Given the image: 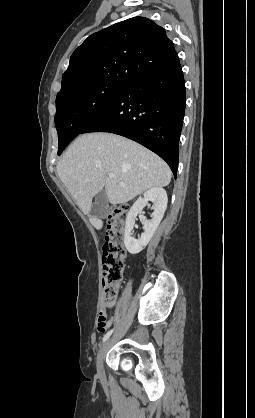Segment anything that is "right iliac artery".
I'll list each match as a JSON object with an SVG mask.
<instances>
[{"label": "right iliac artery", "instance_id": "right-iliac-artery-1", "mask_svg": "<svg viewBox=\"0 0 255 418\" xmlns=\"http://www.w3.org/2000/svg\"><path fill=\"white\" fill-rule=\"evenodd\" d=\"M113 333V329H111L110 331H108L105 335H104V337H103V339H102V342H105L110 336H111V334Z\"/></svg>", "mask_w": 255, "mask_h": 418}]
</instances>
